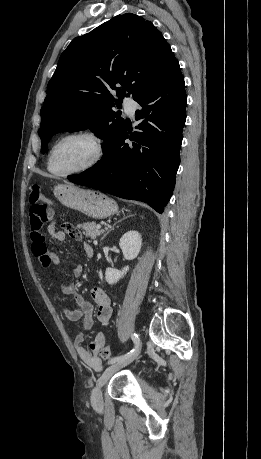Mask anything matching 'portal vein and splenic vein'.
<instances>
[{"instance_id":"portal-vein-and-splenic-vein-1","label":"portal vein and splenic vein","mask_w":261,"mask_h":459,"mask_svg":"<svg viewBox=\"0 0 261 459\" xmlns=\"http://www.w3.org/2000/svg\"><path fill=\"white\" fill-rule=\"evenodd\" d=\"M97 228H98V229H101V225L98 224V225H97Z\"/></svg>"}]
</instances>
